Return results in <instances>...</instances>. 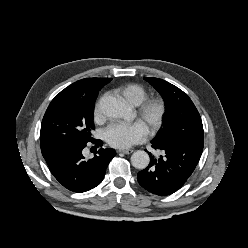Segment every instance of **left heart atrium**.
I'll list each match as a JSON object with an SVG mask.
<instances>
[{
  "mask_svg": "<svg viewBox=\"0 0 248 248\" xmlns=\"http://www.w3.org/2000/svg\"><path fill=\"white\" fill-rule=\"evenodd\" d=\"M147 133V127L140 121L129 124L114 123L105 130L104 138L112 147L127 149L144 141Z\"/></svg>",
  "mask_w": 248,
  "mask_h": 248,
  "instance_id": "1",
  "label": "left heart atrium"
}]
</instances>
